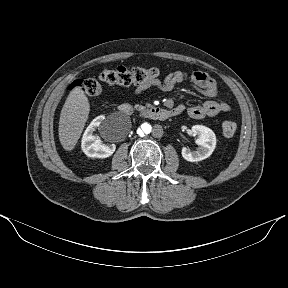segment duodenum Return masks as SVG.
<instances>
[{
    "label": "duodenum",
    "mask_w": 288,
    "mask_h": 288,
    "mask_svg": "<svg viewBox=\"0 0 288 288\" xmlns=\"http://www.w3.org/2000/svg\"><path fill=\"white\" fill-rule=\"evenodd\" d=\"M119 111L124 115H132L133 108L128 103L119 106ZM179 114L177 109H165L162 107H151L140 112V116L147 119L164 121Z\"/></svg>",
    "instance_id": "1"
}]
</instances>
